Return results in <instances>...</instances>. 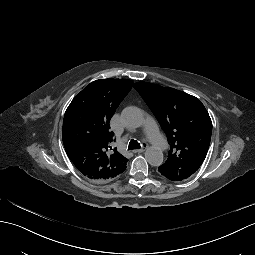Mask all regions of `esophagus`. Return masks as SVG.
<instances>
[{
    "label": "esophagus",
    "instance_id": "obj_1",
    "mask_svg": "<svg viewBox=\"0 0 255 255\" xmlns=\"http://www.w3.org/2000/svg\"><path fill=\"white\" fill-rule=\"evenodd\" d=\"M144 151H145V148H142V149L135 150V153H142Z\"/></svg>",
    "mask_w": 255,
    "mask_h": 255
}]
</instances>
